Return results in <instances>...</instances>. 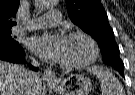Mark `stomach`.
<instances>
[{
  "label": "stomach",
  "mask_w": 135,
  "mask_h": 95,
  "mask_svg": "<svg viewBox=\"0 0 135 95\" xmlns=\"http://www.w3.org/2000/svg\"><path fill=\"white\" fill-rule=\"evenodd\" d=\"M60 95H88L92 89L91 80L81 74H70L57 83H49Z\"/></svg>",
  "instance_id": "0dacf381"
}]
</instances>
